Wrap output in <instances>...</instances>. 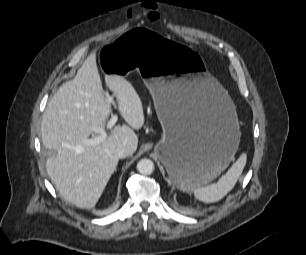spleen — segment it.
Listing matches in <instances>:
<instances>
[{"mask_svg": "<svg viewBox=\"0 0 306 255\" xmlns=\"http://www.w3.org/2000/svg\"><path fill=\"white\" fill-rule=\"evenodd\" d=\"M246 158V154L243 153L217 183L196 187L194 189L195 197L206 203L222 199L236 184L245 167Z\"/></svg>", "mask_w": 306, "mask_h": 255, "instance_id": "3e777b00", "label": "spleen"}]
</instances>
